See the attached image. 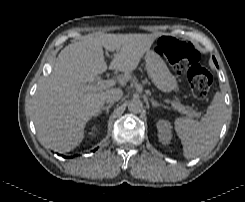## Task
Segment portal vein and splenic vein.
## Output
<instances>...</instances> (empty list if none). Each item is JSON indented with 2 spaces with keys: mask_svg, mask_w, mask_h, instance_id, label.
<instances>
[{
  "mask_svg": "<svg viewBox=\"0 0 245 202\" xmlns=\"http://www.w3.org/2000/svg\"><path fill=\"white\" fill-rule=\"evenodd\" d=\"M116 84L115 79H109V80H98V82L95 85H87L83 86V89L86 91H100V90H105L107 88H110ZM166 103H170L171 106L175 109L178 110L179 112L186 114L188 116H195L196 113L194 111H187L184 108L178 106L175 102L165 100Z\"/></svg>",
  "mask_w": 245,
  "mask_h": 202,
  "instance_id": "18ae733b",
  "label": "portal vein and splenic vein"
}]
</instances>
